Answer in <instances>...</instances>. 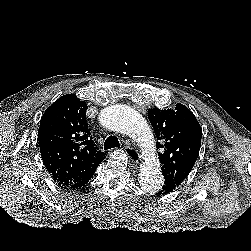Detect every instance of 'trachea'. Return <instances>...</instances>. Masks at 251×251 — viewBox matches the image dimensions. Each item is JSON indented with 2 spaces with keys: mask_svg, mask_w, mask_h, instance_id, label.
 <instances>
[{
  "mask_svg": "<svg viewBox=\"0 0 251 251\" xmlns=\"http://www.w3.org/2000/svg\"><path fill=\"white\" fill-rule=\"evenodd\" d=\"M111 148H120L119 140L116 136H109L104 143V150H108Z\"/></svg>",
  "mask_w": 251,
  "mask_h": 251,
  "instance_id": "1",
  "label": "trachea"
}]
</instances>
